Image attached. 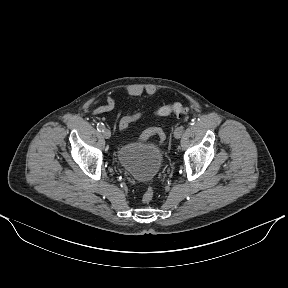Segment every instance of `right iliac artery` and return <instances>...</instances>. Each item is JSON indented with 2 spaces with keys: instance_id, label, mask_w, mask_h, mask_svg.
Wrapping results in <instances>:
<instances>
[{
  "instance_id": "obj_1",
  "label": "right iliac artery",
  "mask_w": 288,
  "mask_h": 288,
  "mask_svg": "<svg viewBox=\"0 0 288 288\" xmlns=\"http://www.w3.org/2000/svg\"><path fill=\"white\" fill-rule=\"evenodd\" d=\"M104 129H105V126H104L103 123H98V124H97V130H98L99 132H103Z\"/></svg>"
}]
</instances>
